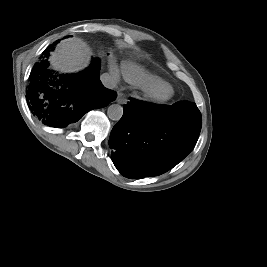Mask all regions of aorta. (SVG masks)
Masks as SVG:
<instances>
[{"label": "aorta", "mask_w": 267, "mask_h": 267, "mask_svg": "<svg viewBox=\"0 0 267 267\" xmlns=\"http://www.w3.org/2000/svg\"><path fill=\"white\" fill-rule=\"evenodd\" d=\"M107 115L111 120L118 121L123 115V107L119 104H112L108 107Z\"/></svg>", "instance_id": "aorta-1"}]
</instances>
